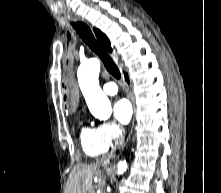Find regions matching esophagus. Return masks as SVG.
Masks as SVG:
<instances>
[{
	"label": "esophagus",
	"mask_w": 221,
	"mask_h": 193,
	"mask_svg": "<svg viewBox=\"0 0 221 193\" xmlns=\"http://www.w3.org/2000/svg\"><path fill=\"white\" fill-rule=\"evenodd\" d=\"M71 16H73V17L76 18V19L82 20L83 22H86V21L84 20V18H80V17L77 16L76 14H71ZM135 113H136V108H135V104H134V102H133V120H132V123H131V126H132V127L134 126ZM131 130H132V129H131Z\"/></svg>",
	"instance_id": "1"
}]
</instances>
